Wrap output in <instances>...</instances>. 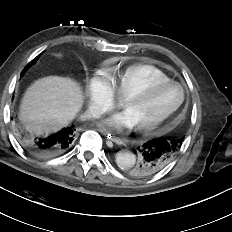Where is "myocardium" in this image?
Returning a JSON list of instances; mask_svg holds the SVG:
<instances>
[{"label":"myocardium","instance_id":"f54148a6","mask_svg":"<svg viewBox=\"0 0 232 232\" xmlns=\"http://www.w3.org/2000/svg\"><path fill=\"white\" fill-rule=\"evenodd\" d=\"M166 86H177L181 90V98H180L179 102L171 110H169L165 115H163L160 119H158L152 123L136 126V130L138 132L149 133V132H152L155 129L159 128L164 123H166L182 107V105L185 101V98H186V90L183 87V85L180 84L179 82L169 79L167 81L154 83V84H152L146 88H143L139 91L133 92V93L129 94L128 96H126L125 98H123V106H124L125 104H127L131 101L144 100L145 98L152 95L154 92H156V91H158L161 88H164Z\"/></svg>","mask_w":232,"mask_h":232}]
</instances>
